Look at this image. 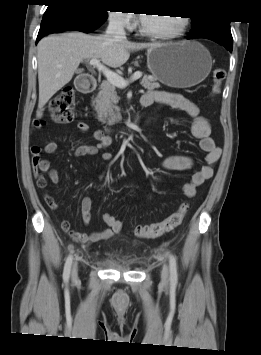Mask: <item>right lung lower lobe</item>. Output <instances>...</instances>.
Segmentation results:
<instances>
[{
	"label": "right lung lower lobe",
	"mask_w": 261,
	"mask_h": 355,
	"mask_svg": "<svg viewBox=\"0 0 261 355\" xmlns=\"http://www.w3.org/2000/svg\"><path fill=\"white\" fill-rule=\"evenodd\" d=\"M106 19L96 18L69 4H50L44 13L36 43L45 35L77 30L91 32Z\"/></svg>",
	"instance_id": "98d812e1"
}]
</instances>
